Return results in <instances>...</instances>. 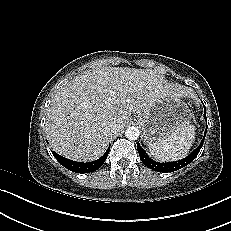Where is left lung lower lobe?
Segmentation results:
<instances>
[{"instance_id":"0a47b994","label":"left lung lower lobe","mask_w":231,"mask_h":231,"mask_svg":"<svg viewBox=\"0 0 231 231\" xmlns=\"http://www.w3.org/2000/svg\"><path fill=\"white\" fill-rule=\"evenodd\" d=\"M204 117L207 121L206 113H205V106H204ZM206 132H207V126H206V130L204 133V137H203L199 147H197L189 156H187L184 159L178 160V161L167 162V163L155 162L151 158H149V156L147 155L145 150L143 148H141L139 143H137V150H138L140 159L145 164V166H147L148 168L155 170L157 172H162V173L173 172V171L179 170V169L187 166L189 163H191L196 158V156L198 155V153H199V151L203 145Z\"/></svg>"}]
</instances>
